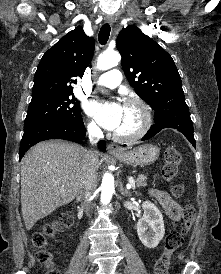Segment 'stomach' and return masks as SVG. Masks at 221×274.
Instances as JSON below:
<instances>
[{"instance_id": "stomach-1", "label": "stomach", "mask_w": 221, "mask_h": 274, "mask_svg": "<svg viewBox=\"0 0 221 274\" xmlns=\"http://www.w3.org/2000/svg\"><path fill=\"white\" fill-rule=\"evenodd\" d=\"M114 157L124 164L144 167L159 158V148L155 145L144 144L131 151L116 154Z\"/></svg>"}]
</instances>
